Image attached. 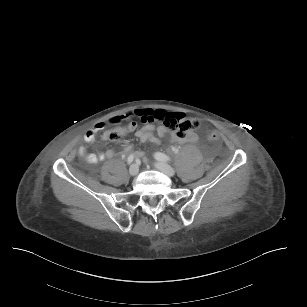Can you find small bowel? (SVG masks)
I'll return each mask as SVG.
<instances>
[{"mask_svg":"<svg viewBox=\"0 0 307 307\" xmlns=\"http://www.w3.org/2000/svg\"><path fill=\"white\" fill-rule=\"evenodd\" d=\"M153 111L150 109H136L125 116H122L120 120H125L131 117H139L145 124L136 131V136L141 143L150 142L154 145L159 144V138L154 135L155 126L153 125V121L151 119ZM102 124H96L91 129H89L84 136V140L87 144H92L95 142L96 135L102 130ZM136 127V125H135ZM135 129V128H134ZM133 129V130H134ZM157 134L161 138H168L172 142L176 143H187L192 144L197 142L198 136L196 133L191 132L185 137H178L176 134L171 133L164 127L157 128ZM132 149L131 143H124L122 146V152L128 153ZM79 153L82 155L87 162L95 163L98 161H102L106 158H111L115 155V151L113 149H108L103 153H86V147L81 146L79 148ZM137 157H143V152H137Z\"/></svg>","mask_w":307,"mask_h":307,"instance_id":"obj_1","label":"small bowel"}]
</instances>
